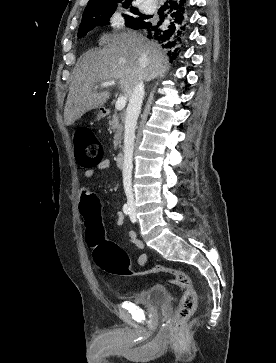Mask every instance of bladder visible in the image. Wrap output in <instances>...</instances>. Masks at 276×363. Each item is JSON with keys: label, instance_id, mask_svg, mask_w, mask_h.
<instances>
[{"label": "bladder", "instance_id": "31cf9c89", "mask_svg": "<svg viewBox=\"0 0 276 363\" xmlns=\"http://www.w3.org/2000/svg\"><path fill=\"white\" fill-rule=\"evenodd\" d=\"M168 290L164 285L155 284L133 294L130 301L148 308H156L167 301Z\"/></svg>", "mask_w": 276, "mask_h": 363}]
</instances>
